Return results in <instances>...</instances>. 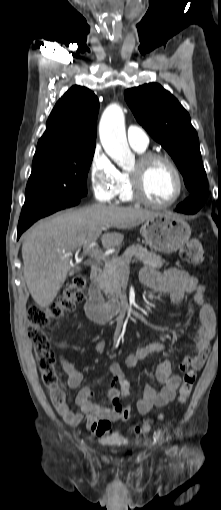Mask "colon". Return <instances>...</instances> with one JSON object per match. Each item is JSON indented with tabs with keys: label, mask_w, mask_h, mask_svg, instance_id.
Instances as JSON below:
<instances>
[{
	"label": "colon",
	"mask_w": 221,
	"mask_h": 510,
	"mask_svg": "<svg viewBox=\"0 0 221 510\" xmlns=\"http://www.w3.org/2000/svg\"><path fill=\"white\" fill-rule=\"evenodd\" d=\"M182 260L201 264L205 260V251L199 240L189 239L180 250ZM87 286L84 275H76L67 282L58 298L48 306H31L28 309V336L34 344V351L38 369L43 383L50 390V400L56 409H61L66 403V397L60 387L59 377L55 369V355L52 350V341L43 330L52 321L61 320L67 313L73 311L75 305L83 299V293ZM196 381L194 371H187L183 377V383L179 389L178 402L185 403L192 392ZM114 406L121 411L122 420L129 419L130 413L127 408L119 404V396L112 398ZM153 420L147 418L135 427L137 434H146L151 430Z\"/></svg>",
	"instance_id": "5ec220e1"
}]
</instances>
